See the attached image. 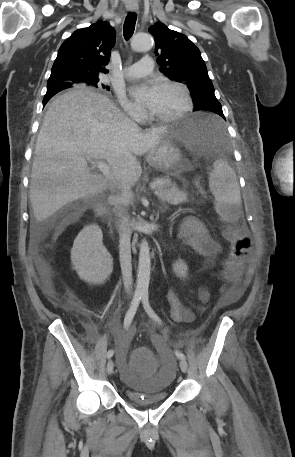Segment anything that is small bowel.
Returning <instances> with one entry per match:
<instances>
[{
    "mask_svg": "<svg viewBox=\"0 0 295 457\" xmlns=\"http://www.w3.org/2000/svg\"><path fill=\"white\" fill-rule=\"evenodd\" d=\"M179 236L183 239L184 243L194 250L196 253L201 255L206 262L215 257L220 251L221 246L216 242L209 234L205 225L195 217H187L184 219L179 228ZM243 292L242 286L234 284L227 290V298L230 301H234L240 297ZM208 294L205 291L199 292V299L206 301ZM167 300L170 304V315L175 322H191L194 320V313L186 307L176 293L172 290L167 292ZM134 329L131 328L125 335L124 338L127 341L132 337ZM153 340L155 342H161L158 336L154 335Z\"/></svg>",
    "mask_w": 295,
    "mask_h": 457,
    "instance_id": "1",
    "label": "small bowel"
}]
</instances>
